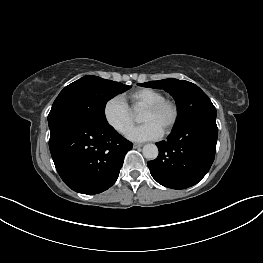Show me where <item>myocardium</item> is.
<instances>
[{"label": "myocardium", "mask_w": 263, "mask_h": 263, "mask_svg": "<svg viewBox=\"0 0 263 263\" xmlns=\"http://www.w3.org/2000/svg\"><path fill=\"white\" fill-rule=\"evenodd\" d=\"M145 109H149L151 111H161L163 109H168L170 111V117L163 129L165 133L171 132L178 121L179 108L177 103L173 100L164 98L148 104L147 106H145Z\"/></svg>", "instance_id": "myocardium-1"}]
</instances>
